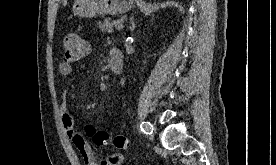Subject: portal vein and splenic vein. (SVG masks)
Segmentation results:
<instances>
[{
    "mask_svg": "<svg viewBox=\"0 0 276 165\" xmlns=\"http://www.w3.org/2000/svg\"><path fill=\"white\" fill-rule=\"evenodd\" d=\"M114 25H115V28H116L117 30H120V29H122V28L124 27L122 21L114 22Z\"/></svg>",
    "mask_w": 276,
    "mask_h": 165,
    "instance_id": "18ae733b",
    "label": "portal vein and splenic vein"
}]
</instances>
